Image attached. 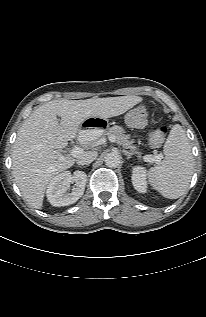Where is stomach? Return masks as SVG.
I'll list each match as a JSON object with an SVG mask.
<instances>
[{"instance_id": "1", "label": "stomach", "mask_w": 206, "mask_h": 317, "mask_svg": "<svg viewBox=\"0 0 206 317\" xmlns=\"http://www.w3.org/2000/svg\"><path fill=\"white\" fill-rule=\"evenodd\" d=\"M117 125V118L114 115L105 117L93 116L83 119L80 122V129L76 135L79 145L88 147L103 137L105 132H111Z\"/></svg>"}]
</instances>
